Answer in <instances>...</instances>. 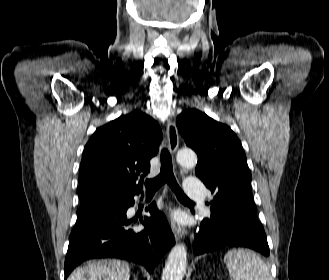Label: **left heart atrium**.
<instances>
[{
  "label": "left heart atrium",
  "mask_w": 329,
  "mask_h": 280,
  "mask_svg": "<svg viewBox=\"0 0 329 280\" xmlns=\"http://www.w3.org/2000/svg\"><path fill=\"white\" fill-rule=\"evenodd\" d=\"M175 220L181 222L183 220V216L180 213H175L174 214Z\"/></svg>",
  "instance_id": "obj_1"
}]
</instances>
